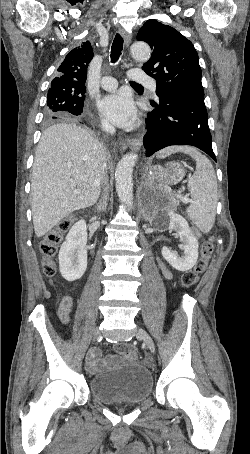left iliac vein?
I'll use <instances>...</instances> for the list:
<instances>
[{"label": "left iliac vein", "instance_id": "left-iliac-vein-1", "mask_svg": "<svg viewBox=\"0 0 250 454\" xmlns=\"http://www.w3.org/2000/svg\"><path fill=\"white\" fill-rule=\"evenodd\" d=\"M137 337L141 338L152 353H155V345L149 334L142 328H138Z\"/></svg>", "mask_w": 250, "mask_h": 454}]
</instances>
